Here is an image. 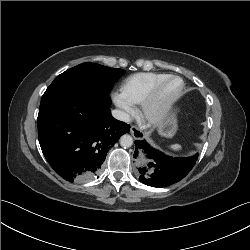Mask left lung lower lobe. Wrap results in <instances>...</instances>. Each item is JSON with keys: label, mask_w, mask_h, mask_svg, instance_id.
Wrapping results in <instances>:
<instances>
[{"label": "left lung lower lobe", "mask_w": 250, "mask_h": 250, "mask_svg": "<svg viewBox=\"0 0 250 250\" xmlns=\"http://www.w3.org/2000/svg\"><path fill=\"white\" fill-rule=\"evenodd\" d=\"M139 180L152 187H165L183 179L196 163L190 158H173L150 146L145 140L135 141Z\"/></svg>", "instance_id": "0a47b994"}]
</instances>
